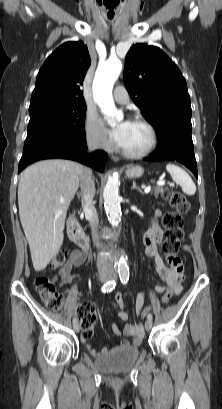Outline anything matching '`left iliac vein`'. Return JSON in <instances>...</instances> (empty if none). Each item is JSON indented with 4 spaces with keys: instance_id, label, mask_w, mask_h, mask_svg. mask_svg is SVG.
I'll return each instance as SVG.
<instances>
[{
    "instance_id": "obj_1",
    "label": "left iliac vein",
    "mask_w": 222,
    "mask_h": 409,
    "mask_svg": "<svg viewBox=\"0 0 222 409\" xmlns=\"http://www.w3.org/2000/svg\"><path fill=\"white\" fill-rule=\"evenodd\" d=\"M152 326H153V323H152V320H147L146 322H145V329L146 330H150L151 328H152Z\"/></svg>"
}]
</instances>
